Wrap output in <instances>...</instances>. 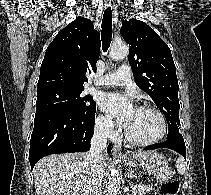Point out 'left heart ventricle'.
Listing matches in <instances>:
<instances>
[{
	"label": "left heart ventricle",
	"mask_w": 211,
	"mask_h": 195,
	"mask_svg": "<svg viewBox=\"0 0 211 195\" xmlns=\"http://www.w3.org/2000/svg\"><path fill=\"white\" fill-rule=\"evenodd\" d=\"M126 128L134 138L145 141L156 138L161 133L162 125L154 112L136 108Z\"/></svg>",
	"instance_id": "b2bd125f"
}]
</instances>
